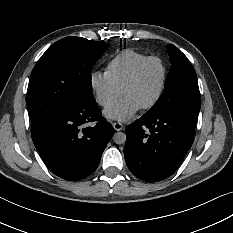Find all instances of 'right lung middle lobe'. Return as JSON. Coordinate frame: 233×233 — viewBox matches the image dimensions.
Instances as JSON below:
<instances>
[{
  "mask_svg": "<svg viewBox=\"0 0 233 233\" xmlns=\"http://www.w3.org/2000/svg\"><path fill=\"white\" fill-rule=\"evenodd\" d=\"M108 44L66 37L52 44L35 65L27 108L31 121L60 114L82 98H94L91 70Z\"/></svg>",
  "mask_w": 233,
  "mask_h": 233,
  "instance_id": "1",
  "label": "right lung middle lobe"
}]
</instances>
